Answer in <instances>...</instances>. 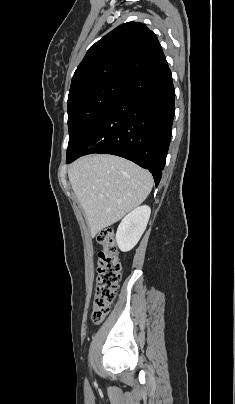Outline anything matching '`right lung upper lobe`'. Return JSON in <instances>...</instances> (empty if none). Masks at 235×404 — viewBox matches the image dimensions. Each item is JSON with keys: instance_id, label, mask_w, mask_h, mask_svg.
<instances>
[{"instance_id": "cb5924a9", "label": "right lung upper lobe", "mask_w": 235, "mask_h": 404, "mask_svg": "<svg viewBox=\"0 0 235 404\" xmlns=\"http://www.w3.org/2000/svg\"><path fill=\"white\" fill-rule=\"evenodd\" d=\"M166 61L156 35L139 22L124 23L90 47L76 69L68 99L106 82H128Z\"/></svg>"}]
</instances>
